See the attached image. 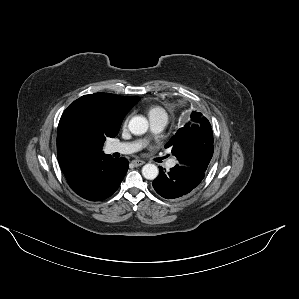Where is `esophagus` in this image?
Segmentation results:
<instances>
[{"label": "esophagus", "instance_id": "esophagus-1", "mask_svg": "<svg viewBox=\"0 0 299 299\" xmlns=\"http://www.w3.org/2000/svg\"><path fill=\"white\" fill-rule=\"evenodd\" d=\"M132 163L135 165V166H141L143 165L145 162L143 160H140V159H135L132 161Z\"/></svg>", "mask_w": 299, "mask_h": 299}]
</instances>
